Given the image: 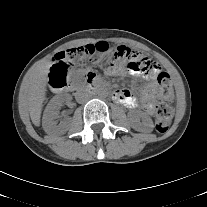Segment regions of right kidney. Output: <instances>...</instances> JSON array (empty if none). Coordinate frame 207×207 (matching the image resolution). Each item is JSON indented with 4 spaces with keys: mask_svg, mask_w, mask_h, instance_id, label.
<instances>
[{
    "mask_svg": "<svg viewBox=\"0 0 207 207\" xmlns=\"http://www.w3.org/2000/svg\"><path fill=\"white\" fill-rule=\"evenodd\" d=\"M68 100L69 96L58 95L53 97L49 102L42 119V126L45 132L52 133L59 130H65L68 127L69 118L62 121L59 126L56 125V119L59 117V109Z\"/></svg>",
    "mask_w": 207,
    "mask_h": 207,
    "instance_id": "right-kidney-1",
    "label": "right kidney"
}]
</instances>
